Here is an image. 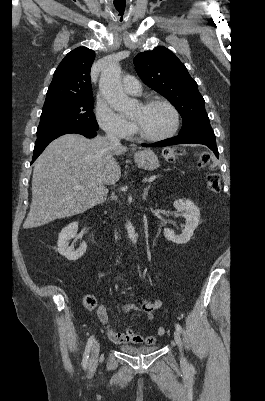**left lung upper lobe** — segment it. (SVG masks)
<instances>
[{"instance_id":"5c2ea615","label":"left lung upper lobe","mask_w":265,"mask_h":401,"mask_svg":"<svg viewBox=\"0 0 265 401\" xmlns=\"http://www.w3.org/2000/svg\"><path fill=\"white\" fill-rule=\"evenodd\" d=\"M134 65L143 82L166 97L181 114L179 133L210 124L197 83L173 52L158 46L136 55Z\"/></svg>"}]
</instances>
